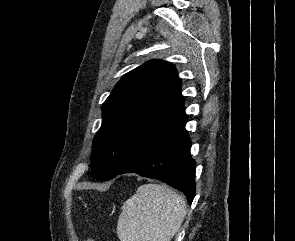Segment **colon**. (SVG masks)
Returning <instances> with one entry per match:
<instances>
[{
    "mask_svg": "<svg viewBox=\"0 0 295 241\" xmlns=\"http://www.w3.org/2000/svg\"><path fill=\"white\" fill-rule=\"evenodd\" d=\"M86 241H95V240H91V239H89V240H86Z\"/></svg>",
    "mask_w": 295,
    "mask_h": 241,
    "instance_id": "obj_1",
    "label": "colon"
}]
</instances>
